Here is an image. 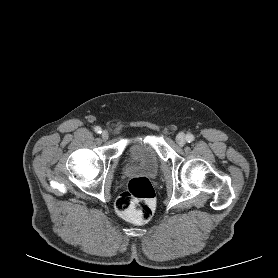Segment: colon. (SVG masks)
Returning a JSON list of instances; mask_svg holds the SVG:
<instances>
[{
	"instance_id": "colon-1",
	"label": "colon",
	"mask_w": 278,
	"mask_h": 278,
	"mask_svg": "<svg viewBox=\"0 0 278 278\" xmlns=\"http://www.w3.org/2000/svg\"><path fill=\"white\" fill-rule=\"evenodd\" d=\"M155 207V192L150 181L145 177L130 180L127 189L115 202L117 213L135 223L150 220Z\"/></svg>"
}]
</instances>
